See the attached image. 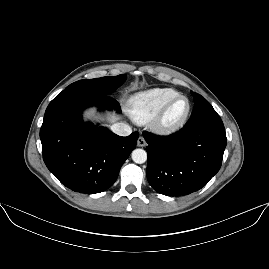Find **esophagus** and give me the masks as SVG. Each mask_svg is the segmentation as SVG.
<instances>
[{"instance_id":"esophagus-1","label":"esophagus","mask_w":269,"mask_h":269,"mask_svg":"<svg viewBox=\"0 0 269 269\" xmlns=\"http://www.w3.org/2000/svg\"><path fill=\"white\" fill-rule=\"evenodd\" d=\"M146 141L144 139V137L140 136L137 140V146L138 147H145L146 146Z\"/></svg>"}]
</instances>
